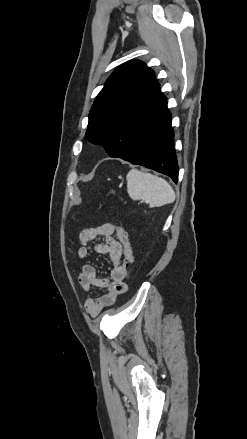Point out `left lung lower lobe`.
I'll list each match as a JSON object with an SVG mask.
<instances>
[{
  "label": "left lung lower lobe",
  "instance_id": "0a47b994",
  "mask_svg": "<svg viewBox=\"0 0 247 439\" xmlns=\"http://www.w3.org/2000/svg\"><path fill=\"white\" fill-rule=\"evenodd\" d=\"M173 138L171 113L167 109L166 101L140 128L122 159L166 174L176 182L178 166Z\"/></svg>",
  "mask_w": 247,
  "mask_h": 439
}]
</instances>
